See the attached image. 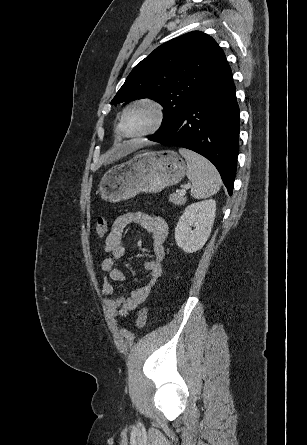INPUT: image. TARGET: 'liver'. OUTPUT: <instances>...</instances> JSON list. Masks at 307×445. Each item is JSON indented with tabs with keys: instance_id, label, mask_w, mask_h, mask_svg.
Returning <instances> with one entry per match:
<instances>
[{
	"instance_id": "obj_1",
	"label": "liver",
	"mask_w": 307,
	"mask_h": 445,
	"mask_svg": "<svg viewBox=\"0 0 307 445\" xmlns=\"http://www.w3.org/2000/svg\"><path fill=\"white\" fill-rule=\"evenodd\" d=\"M117 154H103V162L104 164H110V162H113V160H116Z\"/></svg>"
}]
</instances>
